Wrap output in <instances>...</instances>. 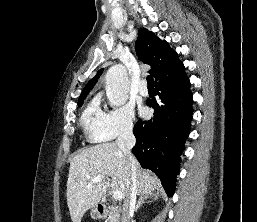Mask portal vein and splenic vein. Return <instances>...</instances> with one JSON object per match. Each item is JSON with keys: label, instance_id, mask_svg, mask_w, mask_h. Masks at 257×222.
Segmentation results:
<instances>
[{"label": "portal vein and splenic vein", "instance_id": "portal-vein-and-splenic-vein-1", "mask_svg": "<svg viewBox=\"0 0 257 222\" xmlns=\"http://www.w3.org/2000/svg\"><path fill=\"white\" fill-rule=\"evenodd\" d=\"M103 179L101 177H95L92 179V183H98L101 182ZM123 198V194L121 191H114L113 192V199L115 200H121Z\"/></svg>", "mask_w": 257, "mask_h": 222}]
</instances>
